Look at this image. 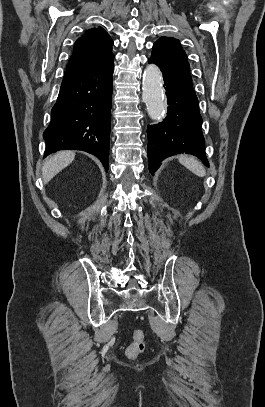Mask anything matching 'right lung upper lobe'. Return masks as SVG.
Returning <instances> with one entry per match:
<instances>
[{
	"mask_svg": "<svg viewBox=\"0 0 265 407\" xmlns=\"http://www.w3.org/2000/svg\"><path fill=\"white\" fill-rule=\"evenodd\" d=\"M113 40L102 28L87 30L74 44L64 77L78 73L112 54Z\"/></svg>",
	"mask_w": 265,
	"mask_h": 407,
	"instance_id": "cb5924a9",
	"label": "right lung upper lobe"
}]
</instances>
